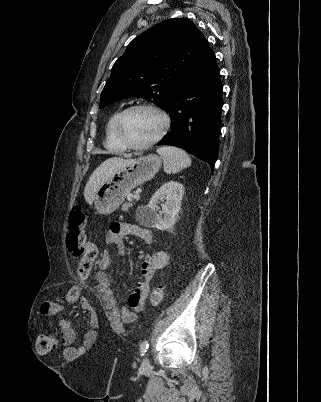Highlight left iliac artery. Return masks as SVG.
<instances>
[{
    "label": "left iliac artery",
    "instance_id": "44dca946",
    "mask_svg": "<svg viewBox=\"0 0 321 402\" xmlns=\"http://www.w3.org/2000/svg\"><path fill=\"white\" fill-rule=\"evenodd\" d=\"M148 347H149V343H148L147 340H145V341H143V342L141 343V345H140V353H141V356H144V355L146 354V352H147V350H148Z\"/></svg>",
    "mask_w": 321,
    "mask_h": 402
}]
</instances>
